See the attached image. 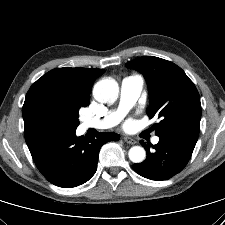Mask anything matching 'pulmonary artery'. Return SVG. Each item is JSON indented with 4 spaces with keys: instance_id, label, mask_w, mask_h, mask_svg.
Here are the masks:
<instances>
[{
    "instance_id": "pulmonary-artery-1",
    "label": "pulmonary artery",
    "mask_w": 225,
    "mask_h": 225,
    "mask_svg": "<svg viewBox=\"0 0 225 225\" xmlns=\"http://www.w3.org/2000/svg\"><path fill=\"white\" fill-rule=\"evenodd\" d=\"M144 85L143 77L131 75L125 77L121 83L120 103L117 110L108 113L102 118H91L84 122V128L107 129L115 126L125 115V113L136 103L141 95ZM154 144L159 142L158 137H154Z\"/></svg>"
}]
</instances>
